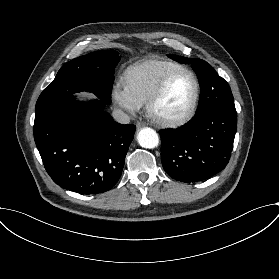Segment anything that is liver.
Wrapping results in <instances>:
<instances>
[{"mask_svg":"<svg viewBox=\"0 0 279 279\" xmlns=\"http://www.w3.org/2000/svg\"><path fill=\"white\" fill-rule=\"evenodd\" d=\"M80 96H83V97H88V98H95V96L91 93H86V92H82L79 94Z\"/></svg>","mask_w":279,"mask_h":279,"instance_id":"1","label":"liver"}]
</instances>
